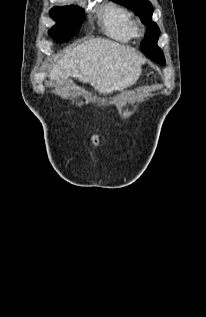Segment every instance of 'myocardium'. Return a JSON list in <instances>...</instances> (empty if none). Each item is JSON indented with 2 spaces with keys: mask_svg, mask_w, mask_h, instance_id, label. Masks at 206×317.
<instances>
[{
  "mask_svg": "<svg viewBox=\"0 0 206 317\" xmlns=\"http://www.w3.org/2000/svg\"><path fill=\"white\" fill-rule=\"evenodd\" d=\"M133 30H134V35L136 36H141L143 34L144 29L140 21L133 22Z\"/></svg>",
  "mask_w": 206,
  "mask_h": 317,
  "instance_id": "obj_1",
  "label": "myocardium"
}]
</instances>
